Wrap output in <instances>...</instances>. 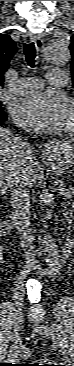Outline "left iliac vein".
<instances>
[{"label":"left iliac vein","instance_id":"left-iliac-vein-1","mask_svg":"<svg viewBox=\"0 0 74 366\" xmlns=\"http://www.w3.org/2000/svg\"><path fill=\"white\" fill-rule=\"evenodd\" d=\"M33 329L35 332L40 333L44 337H49L50 335L55 337V331L52 326L36 324L33 326ZM56 339L58 340V338H56ZM61 348H62V350H64V352L66 351V347L63 346ZM66 362L68 363V365H72V362L68 357H66Z\"/></svg>","mask_w":74,"mask_h":366}]
</instances>
